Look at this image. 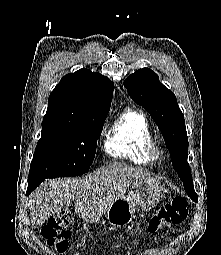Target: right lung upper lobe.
I'll return each instance as SVG.
<instances>
[{"label": "right lung upper lobe", "instance_id": "1", "mask_svg": "<svg viewBox=\"0 0 221 255\" xmlns=\"http://www.w3.org/2000/svg\"><path fill=\"white\" fill-rule=\"evenodd\" d=\"M113 86L108 77L85 68L67 74L51 92L44 119L88 122L109 111Z\"/></svg>", "mask_w": 221, "mask_h": 255}]
</instances>
